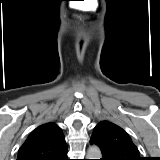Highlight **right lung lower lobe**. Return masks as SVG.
<instances>
[{
	"label": "right lung lower lobe",
	"mask_w": 160,
	"mask_h": 160,
	"mask_svg": "<svg viewBox=\"0 0 160 160\" xmlns=\"http://www.w3.org/2000/svg\"><path fill=\"white\" fill-rule=\"evenodd\" d=\"M59 160H68L67 158V152L64 154V156L62 158H60Z\"/></svg>",
	"instance_id": "right-lung-lower-lobe-1"
}]
</instances>
